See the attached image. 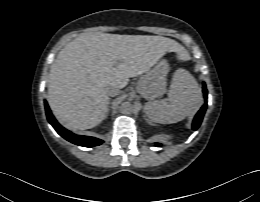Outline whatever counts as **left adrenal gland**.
<instances>
[{
    "label": "left adrenal gland",
    "instance_id": "a2214340",
    "mask_svg": "<svg viewBox=\"0 0 260 202\" xmlns=\"http://www.w3.org/2000/svg\"><path fill=\"white\" fill-rule=\"evenodd\" d=\"M144 118H145V120H146L147 122H149V120L146 118V115H144Z\"/></svg>",
    "mask_w": 260,
    "mask_h": 202
}]
</instances>
